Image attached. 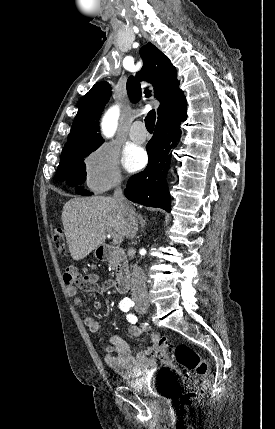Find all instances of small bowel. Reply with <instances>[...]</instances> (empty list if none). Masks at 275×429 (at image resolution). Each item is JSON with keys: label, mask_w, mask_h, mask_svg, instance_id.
Returning a JSON list of instances; mask_svg holds the SVG:
<instances>
[{"label": "small bowel", "mask_w": 275, "mask_h": 429, "mask_svg": "<svg viewBox=\"0 0 275 429\" xmlns=\"http://www.w3.org/2000/svg\"><path fill=\"white\" fill-rule=\"evenodd\" d=\"M66 272L70 276L65 277L64 274L63 279L67 286V292L72 297L73 304L77 309H82L84 306L81 296L78 295V288L102 294L113 285L112 280L101 281L96 274L81 275L77 268L73 266L68 267ZM84 323L91 332H98L101 329V323L95 317H86ZM128 333L132 337H138L141 335L142 329L137 326H131L128 329ZM150 335L151 344L133 355L130 346L124 339L114 332H109V344L106 347L105 354L106 364L124 378H135L145 372L155 370L157 367L156 352L160 341L164 338L156 333H151Z\"/></svg>", "instance_id": "small-bowel-1"}]
</instances>
